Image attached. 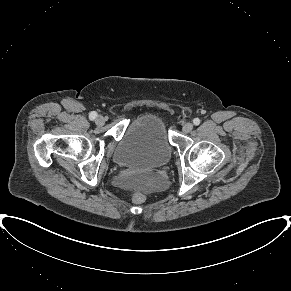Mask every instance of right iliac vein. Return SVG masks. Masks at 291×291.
Segmentation results:
<instances>
[{"mask_svg":"<svg viewBox=\"0 0 291 291\" xmlns=\"http://www.w3.org/2000/svg\"><path fill=\"white\" fill-rule=\"evenodd\" d=\"M96 124L102 126L105 123V118L102 115L97 116L95 120Z\"/></svg>","mask_w":291,"mask_h":291,"instance_id":"63e3f726","label":"right iliac vein"}]
</instances>
